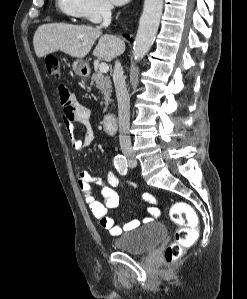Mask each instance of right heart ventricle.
<instances>
[{
	"mask_svg": "<svg viewBox=\"0 0 247 299\" xmlns=\"http://www.w3.org/2000/svg\"><path fill=\"white\" fill-rule=\"evenodd\" d=\"M56 5L64 15L72 18L78 17V0H56Z\"/></svg>",
	"mask_w": 247,
	"mask_h": 299,
	"instance_id": "right-heart-ventricle-1",
	"label": "right heart ventricle"
}]
</instances>
